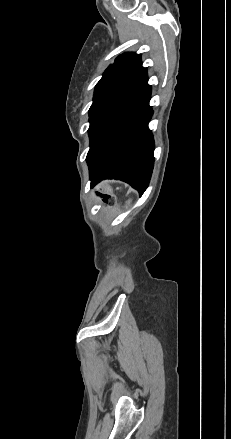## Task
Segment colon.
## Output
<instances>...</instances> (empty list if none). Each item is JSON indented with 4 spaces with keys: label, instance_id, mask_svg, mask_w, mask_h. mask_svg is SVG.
Here are the masks:
<instances>
[{
    "label": "colon",
    "instance_id": "obj_1",
    "mask_svg": "<svg viewBox=\"0 0 231 439\" xmlns=\"http://www.w3.org/2000/svg\"><path fill=\"white\" fill-rule=\"evenodd\" d=\"M103 201H104V203H105L107 206H111V205H113L114 202H115L114 197H112V196H105V197H103Z\"/></svg>",
    "mask_w": 231,
    "mask_h": 439
}]
</instances>
